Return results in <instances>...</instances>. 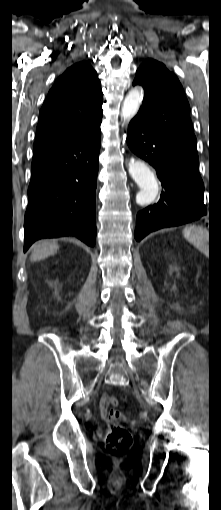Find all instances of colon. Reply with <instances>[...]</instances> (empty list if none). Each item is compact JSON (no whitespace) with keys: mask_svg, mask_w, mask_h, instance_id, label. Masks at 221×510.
<instances>
[{"mask_svg":"<svg viewBox=\"0 0 221 510\" xmlns=\"http://www.w3.org/2000/svg\"><path fill=\"white\" fill-rule=\"evenodd\" d=\"M116 397H111L110 405L118 406ZM109 422H116L123 419V415L116 410H111L107 415ZM132 445V436L129 431L120 424L112 425L106 432L105 449L113 456H119L127 452Z\"/></svg>","mask_w":221,"mask_h":510,"instance_id":"5ec220e1","label":"colon"}]
</instances>
